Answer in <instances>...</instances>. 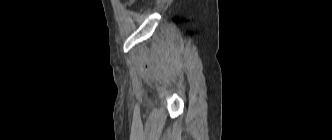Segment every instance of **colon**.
I'll return each mask as SVG.
<instances>
[{
    "label": "colon",
    "mask_w": 332,
    "mask_h": 140,
    "mask_svg": "<svg viewBox=\"0 0 332 140\" xmlns=\"http://www.w3.org/2000/svg\"><path fill=\"white\" fill-rule=\"evenodd\" d=\"M129 1L134 2L135 0H129Z\"/></svg>",
    "instance_id": "1"
}]
</instances>
